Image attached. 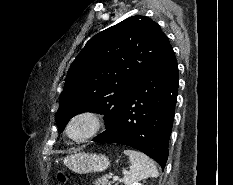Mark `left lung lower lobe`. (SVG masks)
Returning <instances> with one entry per match:
<instances>
[{
	"label": "left lung lower lobe",
	"instance_id": "obj_1",
	"mask_svg": "<svg viewBox=\"0 0 233 185\" xmlns=\"http://www.w3.org/2000/svg\"><path fill=\"white\" fill-rule=\"evenodd\" d=\"M178 81L177 61L172 46L168 44L136 83L117 121L93 140L131 146L164 168L168 158Z\"/></svg>",
	"mask_w": 233,
	"mask_h": 185
}]
</instances>
